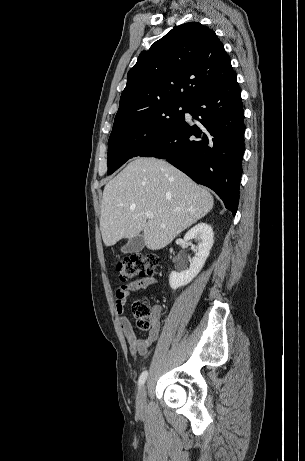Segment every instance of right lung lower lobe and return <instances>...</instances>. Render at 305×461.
<instances>
[{
  "label": "right lung lower lobe",
  "instance_id": "1",
  "mask_svg": "<svg viewBox=\"0 0 305 461\" xmlns=\"http://www.w3.org/2000/svg\"><path fill=\"white\" fill-rule=\"evenodd\" d=\"M184 121L164 141L139 156L166 159L198 184L214 190L236 214L244 153V112L236 73L195 97Z\"/></svg>",
  "mask_w": 305,
  "mask_h": 461
}]
</instances>
